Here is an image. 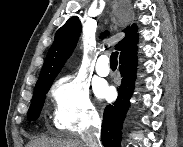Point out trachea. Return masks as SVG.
I'll list each match as a JSON object with an SVG mask.
<instances>
[{"instance_id":"1","label":"trachea","mask_w":183,"mask_h":147,"mask_svg":"<svg viewBox=\"0 0 183 147\" xmlns=\"http://www.w3.org/2000/svg\"><path fill=\"white\" fill-rule=\"evenodd\" d=\"M118 65V52H113L110 56V66L117 67Z\"/></svg>"}]
</instances>
